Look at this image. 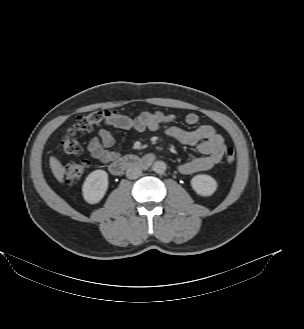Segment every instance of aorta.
Listing matches in <instances>:
<instances>
[{"label": "aorta", "instance_id": "aorta-1", "mask_svg": "<svg viewBox=\"0 0 304 329\" xmlns=\"http://www.w3.org/2000/svg\"><path fill=\"white\" fill-rule=\"evenodd\" d=\"M152 169L154 172L162 174L166 170V164L163 161H156L154 162Z\"/></svg>", "mask_w": 304, "mask_h": 329}]
</instances>
